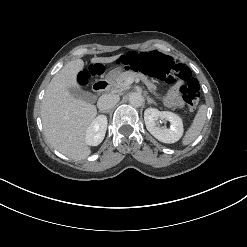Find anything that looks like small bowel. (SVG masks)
Here are the masks:
<instances>
[{
  "label": "small bowel",
  "mask_w": 247,
  "mask_h": 247,
  "mask_svg": "<svg viewBox=\"0 0 247 247\" xmlns=\"http://www.w3.org/2000/svg\"><path fill=\"white\" fill-rule=\"evenodd\" d=\"M168 99L172 105H179V101L177 99V91L175 89L170 91Z\"/></svg>",
  "instance_id": "small-bowel-1"
}]
</instances>
